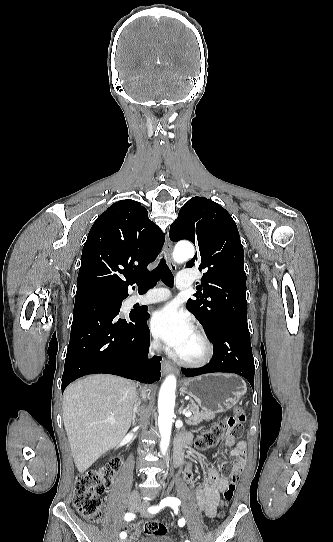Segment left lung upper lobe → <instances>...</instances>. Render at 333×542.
Returning <instances> with one entry per match:
<instances>
[{"label": "left lung upper lobe", "instance_id": "left-lung-upper-lobe-1", "mask_svg": "<svg viewBox=\"0 0 333 542\" xmlns=\"http://www.w3.org/2000/svg\"><path fill=\"white\" fill-rule=\"evenodd\" d=\"M169 236L174 242L190 240L198 248L186 266L206 272L186 306L209 335L227 319L247 320L243 246L230 214L210 199L191 198L171 224Z\"/></svg>", "mask_w": 333, "mask_h": 542}]
</instances>
